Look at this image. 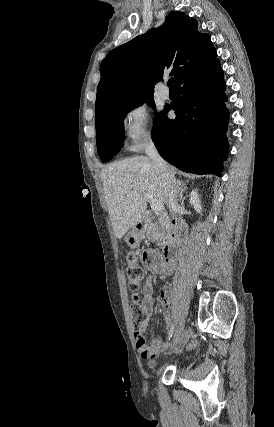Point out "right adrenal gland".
Returning <instances> with one entry per match:
<instances>
[{
    "label": "right adrenal gland",
    "mask_w": 274,
    "mask_h": 427,
    "mask_svg": "<svg viewBox=\"0 0 274 427\" xmlns=\"http://www.w3.org/2000/svg\"><path fill=\"white\" fill-rule=\"evenodd\" d=\"M178 186H180L179 200H180V202H183V200H184L183 192H185V190H187V186H186V184H182V182H179V180H178Z\"/></svg>",
    "instance_id": "1"
}]
</instances>
